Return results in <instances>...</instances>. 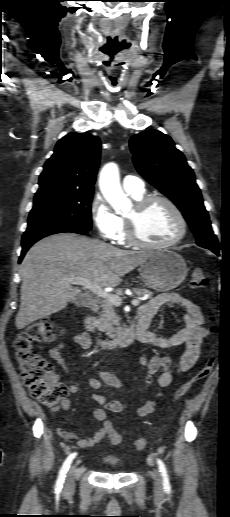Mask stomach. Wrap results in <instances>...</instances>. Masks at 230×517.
<instances>
[{"instance_id":"1","label":"stomach","mask_w":230,"mask_h":517,"mask_svg":"<svg viewBox=\"0 0 230 517\" xmlns=\"http://www.w3.org/2000/svg\"><path fill=\"white\" fill-rule=\"evenodd\" d=\"M139 272L144 284L156 291L167 292L178 287L187 276V266L179 254L168 249L149 253L140 265Z\"/></svg>"}]
</instances>
